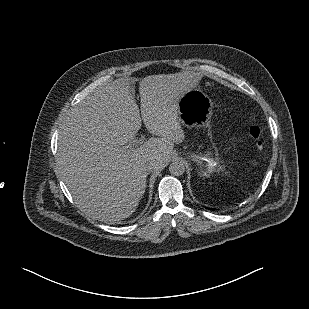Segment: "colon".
<instances>
[{"label": "colon", "mask_w": 309, "mask_h": 309, "mask_svg": "<svg viewBox=\"0 0 309 309\" xmlns=\"http://www.w3.org/2000/svg\"><path fill=\"white\" fill-rule=\"evenodd\" d=\"M249 135L251 136V138H253L256 142V145L258 147L262 146V142L260 140V130L257 127H251L249 130Z\"/></svg>", "instance_id": "5ec220e1"}]
</instances>
